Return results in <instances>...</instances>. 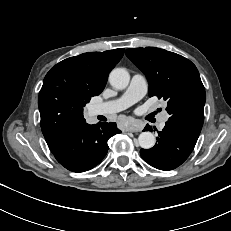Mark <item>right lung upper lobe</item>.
<instances>
[{
	"mask_svg": "<svg viewBox=\"0 0 231 231\" xmlns=\"http://www.w3.org/2000/svg\"><path fill=\"white\" fill-rule=\"evenodd\" d=\"M124 49L88 52L67 58L47 73L38 97L41 129L50 147L86 123L83 107L99 95Z\"/></svg>",
	"mask_w": 231,
	"mask_h": 231,
	"instance_id": "right-lung-upper-lobe-1",
	"label": "right lung upper lobe"
}]
</instances>
